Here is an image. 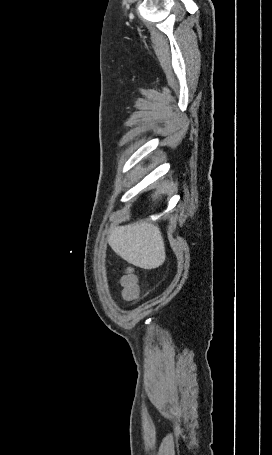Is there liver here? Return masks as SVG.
Listing matches in <instances>:
<instances>
[{"instance_id":"obj_1","label":"liver","mask_w":272,"mask_h":455,"mask_svg":"<svg viewBox=\"0 0 272 455\" xmlns=\"http://www.w3.org/2000/svg\"><path fill=\"white\" fill-rule=\"evenodd\" d=\"M160 193H155L157 199ZM113 251L128 263L146 270L161 266L166 258L164 240L157 225L137 222L113 228L108 236Z\"/></svg>"}]
</instances>
